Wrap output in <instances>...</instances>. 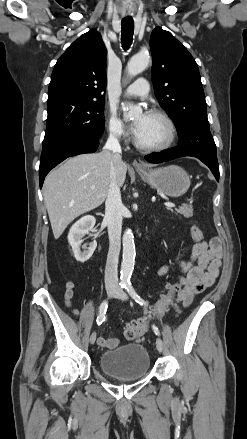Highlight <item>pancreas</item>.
<instances>
[{
	"instance_id": "obj_1",
	"label": "pancreas",
	"mask_w": 247,
	"mask_h": 439,
	"mask_svg": "<svg viewBox=\"0 0 247 439\" xmlns=\"http://www.w3.org/2000/svg\"><path fill=\"white\" fill-rule=\"evenodd\" d=\"M170 210L173 212L172 209ZM176 213L183 215L185 218H190L193 216V206L188 204H183L181 207L176 209Z\"/></svg>"
}]
</instances>
